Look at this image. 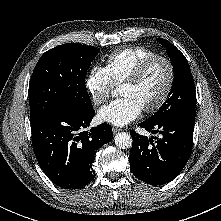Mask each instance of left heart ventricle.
<instances>
[{"mask_svg": "<svg viewBox=\"0 0 221 221\" xmlns=\"http://www.w3.org/2000/svg\"><path fill=\"white\" fill-rule=\"evenodd\" d=\"M168 82V68L157 61L150 66L144 77L134 85H121V96H129L136 100L142 108L152 106L163 94Z\"/></svg>", "mask_w": 221, "mask_h": 221, "instance_id": "obj_1", "label": "left heart ventricle"}]
</instances>
